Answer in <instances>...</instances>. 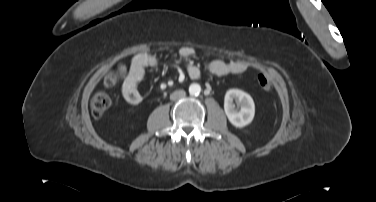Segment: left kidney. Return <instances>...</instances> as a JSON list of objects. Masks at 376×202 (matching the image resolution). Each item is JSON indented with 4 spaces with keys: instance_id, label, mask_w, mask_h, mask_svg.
I'll use <instances>...</instances> for the list:
<instances>
[{
    "instance_id": "5707ae66",
    "label": "left kidney",
    "mask_w": 376,
    "mask_h": 202,
    "mask_svg": "<svg viewBox=\"0 0 376 202\" xmlns=\"http://www.w3.org/2000/svg\"><path fill=\"white\" fill-rule=\"evenodd\" d=\"M234 101L241 108H235ZM225 113L235 127H244L251 123L255 115V105L252 97L239 89H230L226 92L224 98Z\"/></svg>"
}]
</instances>
